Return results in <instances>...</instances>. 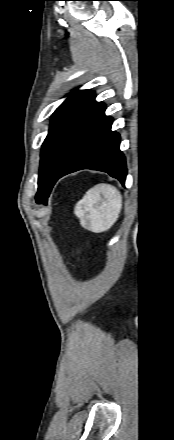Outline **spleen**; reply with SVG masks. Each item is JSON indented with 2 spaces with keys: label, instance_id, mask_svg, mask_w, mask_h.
Here are the masks:
<instances>
[{
  "label": "spleen",
  "instance_id": "spleen-1",
  "mask_svg": "<svg viewBox=\"0 0 174 440\" xmlns=\"http://www.w3.org/2000/svg\"><path fill=\"white\" fill-rule=\"evenodd\" d=\"M122 209V196L118 189L100 183L89 189L75 207V214L83 228L94 233L110 229Z\"/></svg>",
  "mask_w": 174,
  "mask_h": 440
}]
</instances>
